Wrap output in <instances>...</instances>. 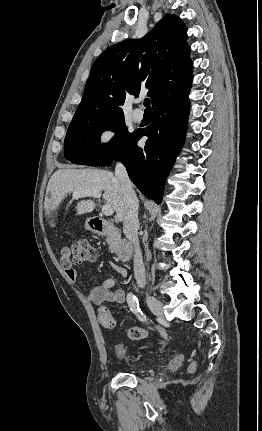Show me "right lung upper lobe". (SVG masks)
I'll return each instance as SVG.
<instances>
[{"mask_svg":"<svg viewBox=\"0 0 262 431\" xmlns=\"http://www.w3.org/2000/svg\"><path fill=\"white\" fill-rule=\"evenodd\" d=\"M186 39L184 23L169 14L142 39L109 47L93 63L72 121L124 116L126 97H137L144 86L153 108L189 92L192 61Z\"/></svg>","mask_w":262,"mask_h":431,"instance_id":"right-lung-upper-lobe-1","label":"right lung upper lobe"}]
</instances>
